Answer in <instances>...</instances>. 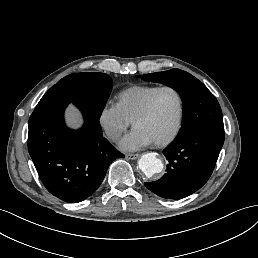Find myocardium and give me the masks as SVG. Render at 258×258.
<instances>
[{
  "instance_id": "myocardium-1",
  "label": "myocardium",
  "mask_w": 258,
  "mask_h": 258,
  "mask_svg": "<svg viewBox=\"0 0 258 258\" xmlns=\"http://www.w3.org/2000/svg\"><path fill=\"white\" fill-rule=\"evenodd\" d=\"M166 90H170L172 92H174L177 96L178 99V112H177V118H176V122H175V126L173 131L171 132V134L168 137L165 138H159V137H155L149 133H147L143 128H142V124L149 118L150 113H151V109H152V105L153 102L156 98V96L162 92V91H166ZM182 113H183V101H182V97L180 95V93L170 87V86H164V87H159L148 99L146 106L144 107L142 113L139 115V117L137 118V120L134 123V127L135 129L144 137H146L147 139H149L150 141H152L155 144L158 145H165L170 143L177 135L180 126H181V120H182Z\"/></svg>"
}]
</instances>
